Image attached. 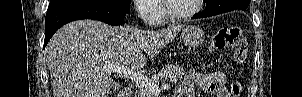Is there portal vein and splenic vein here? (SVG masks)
<instances>
[{"label":"portal vein and splenic vein","mask_w":302,"mask_h":97,"mask_svg":"<svg viewBox=\"0 0 302 97\" xmlns=\"http://www.w3.org/2000/svg\"><path fill=\"white\" fill-rule=\"evenodd\" d=\"M105 71L107 73H118L121 76L127 77L141 86L147 88L151 93H159L160 87L157 83L151 81L147 77L143 76L140 73H137L131 69H129L125 65L112 64L105 67Z\"/></svg>","instance_id":"18ae733b"}]
</instances>
